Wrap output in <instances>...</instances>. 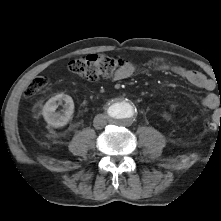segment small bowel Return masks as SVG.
Masks as SVG:
<instances>
[{
  "label": "small bowel",
  "instance_id": "small-bowel-1",
  "mask_svg": "<svg viewBox=\"0 0 221 221\" xmlns=\"http://www.w3.org/2000/svg\"><path fill=\"white\" fill-rule=\"evenodd\" d=\"M172 72L176 75L192 84L193 86L206 90L213 91L215 88V83L210 78L206 77L202 73L186 69L179 66H173L170 68ZM136 70L134 64L128 62L125 66L120 69L113 77L114 80H123L129 78ZM202 105L208 109H214L219 105V98L214 93H209L202 98Z\"/></svg>",
  "mask_w": 221,
  "mask_h": 221
}]
</instances>
